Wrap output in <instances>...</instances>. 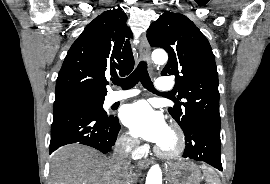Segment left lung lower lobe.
<instances>
[{
	"label": "left lung lower lobe",
	"mask_w": 270,
	"mask_h": 184,
	"mask_svg": "<svg viewBox=\"0 0 270 184\" xmlns=\"http://www.w3.org/2000/svg\"><path fill=\"white\" fill-rule=\"evenodd\" d=\"M184 134V158L203 161L222 171L220 128L197 124Z\"/></svg>",
	"instance_id": "0a47b994"
}]
</instances>
